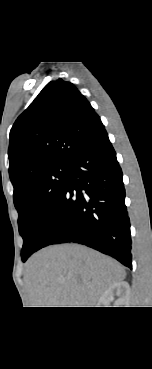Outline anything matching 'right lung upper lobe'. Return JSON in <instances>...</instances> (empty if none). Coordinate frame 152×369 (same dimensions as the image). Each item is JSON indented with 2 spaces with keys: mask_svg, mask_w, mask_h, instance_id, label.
<instances>
[{
  "mask_svg": "<svg viewBox=\"0 0 152 369\" xmlns=\"http://www.w3.org/2000/svg\"><path fill=\"white\" fill-rule=\"evenodd\" d=\"M100 117L70 82H49L17 118L9 142V176L14 194L37 172L68 164L104 131Z\"/></svg>",
  "mask_w": 152,
  "mask_h": 369,
  "instance_id": "right-lung-upper-lobe-1",
  "label": "right lung upper lobe"
}]
</instances>
